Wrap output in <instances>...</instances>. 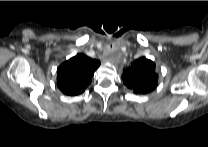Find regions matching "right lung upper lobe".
Masks as SVG:
<instances>
[{
	"mask_svg": "<svg viewBox=\"0 0 208 147\" xmlns=\"http://www.w3.org/2000/svg\"><path fill=\"white\" fill-rule=\"evenodd\" d=\"M100 61L77 54L57 69L58 88L66 95H78L91 83Z\"/></svg>",
	"mask_w": 208,
	"mask_h": 147,
	"instance_id": "right-lung-upper-lobe-1",
	"label": "right lung upper lobe"
}]
</instances>
